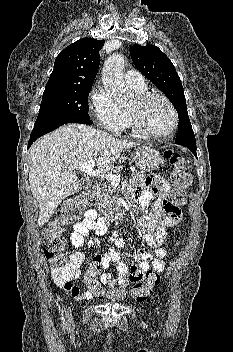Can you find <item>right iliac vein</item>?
I'll return each instance as SVG.
<instances>
[{"instance_id":"obj_1","label":"right iliac vein","mask_w":233,"mask_h":352,"mask_svg":"<svg viewBox=\"0 0 233 352\" xmlns=\"http://www.w3.org/2000/svg\"><path fill=\"white\" fill-rule=\"evenodd\" d=\"M66 319H67L68 325L71 326V324L73 323V318H72V311H71V309L68 310Z\"/></svg>"}]
</instances>
